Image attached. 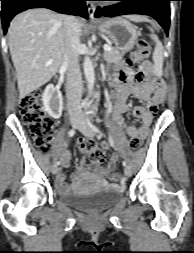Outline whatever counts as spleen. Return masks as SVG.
Wrapping results in <instances>:
<instances>
[{
  "label": "spleen",
  "mask_w": 194,
  "mask_h": 253,
  "mask_svg": "<svg viewBox=\"0 0 194 253\" xmlns=\"http://www.w3.org/2000/svg\"><path fill=\"white\" fill-rule=\"evenodd\" d=\"M152 31L151 34V39L155 42V48H154V52H153V62H154V73L155 75H157L158 77H160L162 75V68H163V45L160 42V40L158 39V37L154 34V31L152 29H150Z\"/></svg>",
  "instance_id": "1"
}]
</instances>
